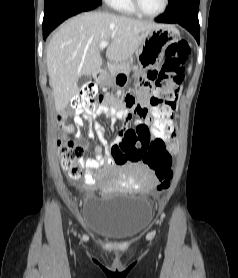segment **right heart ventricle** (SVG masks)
<instances>
[{
  "label": "right heart ventricle",
  "instance_id": "e07e8e85",
  "mask_svg": "<svg viewBox=\"0 0 238 278\" xmlns=\"http://www.w3.org/2000/svg\"><path fill=\"white\" fill-rule=\"evenodd\" d=\"M113 8L120 13L134 15L136 14L130 0H116Z\"/></svg>",
  "mask_w": 238,
  "mask_h": 278
}]
</instances>
